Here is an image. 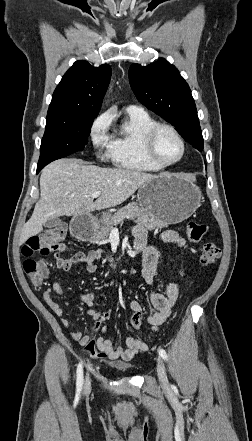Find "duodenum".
Masks as SVG:
<instances>
[{
    "label": "duodenum",
    "mask_w": 252,
    "mask_h": 441,
    "mask_svg": "<svg viewBox=\"0 0 252 441\" xmlns=\"http://www.w3.org/2000/svg\"><path fill=\"white\" fill-rule=\"evenodd\" d=\"M73 236L79 240H89L94 236V228L90 219H76L71 224ZM137 250H141L137 248Z\"/></svg>",
    "instance_id": "duodenum-1"
}]
</instances>
